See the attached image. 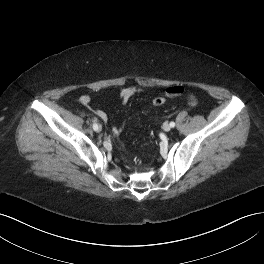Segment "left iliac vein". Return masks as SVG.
Listing matches in <instances>:
<instances>
[{
  "mask_svg": "<svg viewBox=\"0 0 264 264\" xmlns=\"http://www.w3.org/2000/svg\"><path fill=\"white\" fill-rule=\"evenodd\" d=\"M163 129H164V131H166V132H168V131H170L171 130V126H170V124L169 123H164L163 124Z\"/></svg>",
  "mask_w": 264,
  "mask_h": 264,
  "instance_id": "obj_1",
  "label": "left iliac vein"
}]
</instances>
